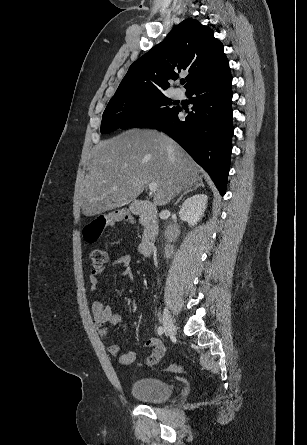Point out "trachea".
<instances>
[{
    "instance_id": "obj_1",
    "label": "trachea",
    "mask_w": 307,
    "mask_h": 445,
    "mask_svg": "<svg viewBox=\"0 0 307 445\" xmlns=\"http://www.w3.org/2000/svg\"><path fill=\"white\" fill-rule=\"evenodd\" d=\"M180 83H181L182 85H184V83H185V80H181V81H180Z\"/></svg>"
}]
</instances>
